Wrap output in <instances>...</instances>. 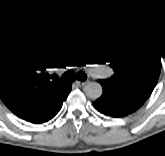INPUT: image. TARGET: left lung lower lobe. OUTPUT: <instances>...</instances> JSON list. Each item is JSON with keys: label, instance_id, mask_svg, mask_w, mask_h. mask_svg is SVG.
<instances>
[{"label": "left lung lower lobe", "instance_id": "0a47b994", "mask_svg": "<svg viewBox=\"0 0 165 156\" xmlns=\"http://www.w3.org/2000/svg\"><path fill=\"white\" fill-rule=\"evenodd\" d=\"M103 87L100 98L93 102L94 107L110 117H124L137 111L144 102L125 93L109 80H98Z\"/></svg>", "mask_w": 165, "mask_h": 156}]
</instances>
